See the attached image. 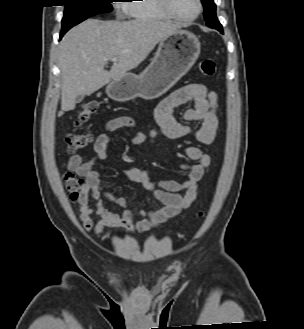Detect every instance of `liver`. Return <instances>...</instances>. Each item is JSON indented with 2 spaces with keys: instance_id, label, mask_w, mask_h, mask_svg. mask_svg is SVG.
<instances>
[{
  "instance_id": "6515ba94",
  "label": "liver",
  "mask_w": 304,
  "mask_h": 329,
  "mask_svg": "<svg viewBox=\"0 0 304 329\" xmlns=\"http://www.w3.org/2000/svg\"><path fill=\"white\" fill-rule=\"evenodd\" d=\"M180 26L171 22L136 19H88L69 30L59 45L62 75L61 111L75 109L78 95H91L110 81L121 79L143 62L158 42ZM117 58L109 71L104 67Z\"/></svg>"
}]
</instances>
